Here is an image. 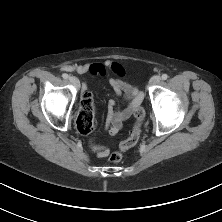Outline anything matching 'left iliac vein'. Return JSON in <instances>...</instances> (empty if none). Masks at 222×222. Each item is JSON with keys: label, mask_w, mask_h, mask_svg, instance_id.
I'll list each match as a JSON object with an SVG mask.
<instances>
[{"label": "left iliac vein", "mask_w": 222, "mask_h": 222, "mask_svg": "<svg viewBox=\"0 0 222 222\" xmlns=\"http://www.w3.org/2000/svg\"><path fill=\"white\" fill-rule=\"evenodd\" d=\"M160 81H161L160 76H153V77L150 79V81H149V85H150V86L156 85V84H158Z\"/></svg>", "instance_id": "obj_1"}]
</instances>
